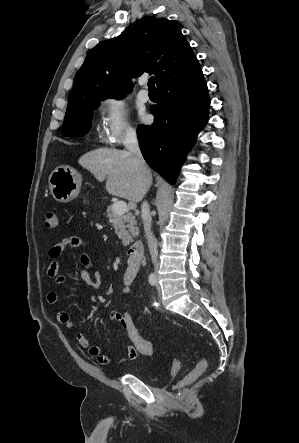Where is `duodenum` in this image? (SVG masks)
<instances>
[{"mask_svg":"<svg viewBox=\"0 0 299 443\" xmlns=\"http://www.w3.org/2000/svg\"><path fill=\"white\" fill-rule=\"evenodd\" d=\"M143 253H144L143 243L141 241L133 242L128 249L129 263L139 264L142 260Z\"/></svg>","mask_w":299,"mask_h":443,"instance_id":"410a0bca","label":"duodenum"}]
</instances>
